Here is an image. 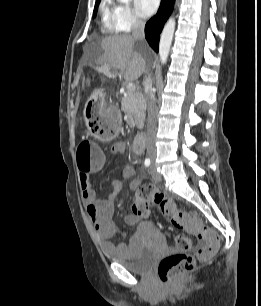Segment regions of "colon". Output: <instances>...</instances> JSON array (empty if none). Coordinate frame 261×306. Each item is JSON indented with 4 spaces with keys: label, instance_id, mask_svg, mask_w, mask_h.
<instances>
[{
    "label": "colon",
    "instance_id": "1",
    "mask_svg": "<svg viewBox=\"0 0 261 306\" xmlns=\"http://www.w3.org/2000/svg\"><path fill=\"white\" fill-rule=\"evenodd\" d=\"M117 120L93 126L95 135L101 140L109 141L116 136ZM77 165L81 171L90 170L105 160L104 153L93 146L90 141H81L76 148ZM160 205L163 214L171 224L182 229L186 234L176 239L177 252L163 258L158 265V276L165 283L175 282L181 275L194 269L196 261H205L210 258L219 247L220 238L210 228L204 226L201 221L187 211L177 209L172 201L167 199L152 184L142 185L137 193L133 212L140 218H148L151 215V204ZM197 237L204 241L195 255L189 254L195 246Z\"/></svg>",
    "mask_w": 261,
    "mask_h": 306
}]
</instances>
